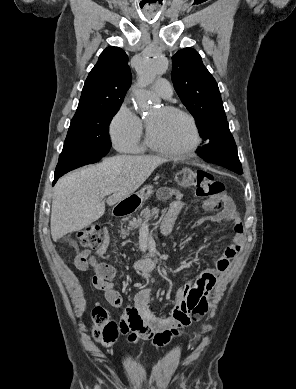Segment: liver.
<instances>
[{
  "mask_svg": "<svg viewBox=\"0 0 296 389\" xmlns=\"http://www.w3.org/2000/svg\"><path fill=\"white\" fill-rule=\"evenodd\" d=\"M166 159L158 156L119 155L71 172L55 185L51 208L54 241L98 220L109 206L129 197Z\"/></svg>",
  "mask_w": 296,
  "mask_h": 389,
  "instance_id": "obj_1",
  "label": "liver"
}]
</instances>
